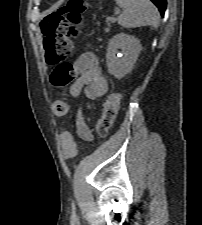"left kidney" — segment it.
<instances>
[{"mask_svg": "<svg viewBox=\"0 0 202 225\" xmlns=\"http://www.w3.org/2000/svg\"><path fill=\"white\" fill-rule=\"evenodd\" d=\"M141 50L140 41L134 36L125 33L113 36L106 54L109 74L117 79L123 78L133 69Z\"/></svg>", "mask_w": 202, "mask_h": 225, "instance_id": "5707ae66", "label": "left kidney"}]
</instances>
